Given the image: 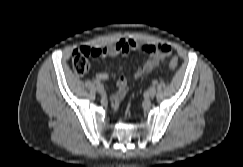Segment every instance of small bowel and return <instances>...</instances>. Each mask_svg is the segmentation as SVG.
<instances>
[{
	"label": "small bowel",
	"mask_w": 243,
	"mask_h": 167,
	"mask_svg": "<svg viewBox=\"0 0 243 167\" xmlns=\"http://www.w3.org/2000/svg\"><path fill=\"white\" fill-rule=\"evenodd\" d=\"M92 55L95 57H114L117 55L126 56L130 50L140 51L149 55V58L140 65L134 73V79H138L145 74L151 73L160 65L167 57L172 54V49L169 45L158 43H142L132 39H120L115 44L108 47H94ZM120 70L123 71V65H120ZM109 76L106 72L96 74V80L106 81ZM129 89V83L124 75H121L117 80V91L112 95V107L117 109L119 102L124 98Z\"/></svg>",
	"instance_id": "1"
}]
</instances>
